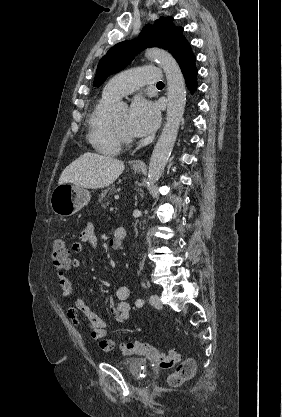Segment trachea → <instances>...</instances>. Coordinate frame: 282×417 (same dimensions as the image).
Segmentation results:
<instances>
[{
  "label": "trachea",
  "instance_id": "obj_1",
  "mask_svg": "<svg viewBox=\"0 0 282 417\" xmlns=\"http://www.w3.org/2000/svg\"><path fill=\"white\" fill-rule=\"evenodd\" d=\"M157 85H164V83L163 82H158Z\"/></svg>",
  "mask_w": 282,
  "mask_h": 417
}]
</instances>
